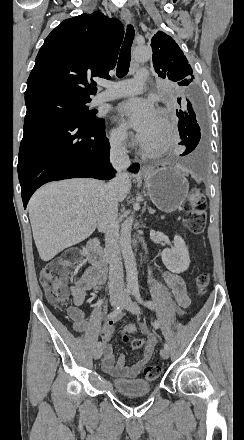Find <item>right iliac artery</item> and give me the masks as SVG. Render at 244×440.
<instances>
[{"mask_svg": "<svg viewBox=\"0 0 244 440\" xmlns=\"http://www.w3.org/2000/svg\"><path fill=\"white\" fill-rule=\"evenodd\" d=\"M131 294H132V289L127 288V289H126V299H129L130 296H131ZM126 301H127V300H126ZM123 308H124V305H123V304L117 306V307H116V308H115V309H114V310L108 315V319H109V320L114 319L116 316H118V315L122 312ZM101 345H102L101 342H98V343H97V347H98V348L101 347Z\"/></svg>", "mask_w": 244, "mask_h": 440, "instance_id": "1", "label": "right iliac artery"}]
</instances>
